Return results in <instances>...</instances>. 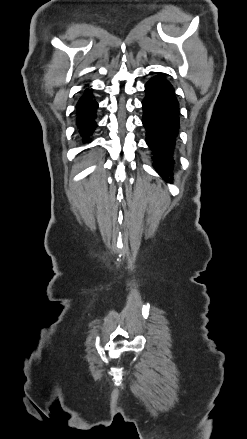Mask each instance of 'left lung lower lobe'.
<instances>
[{"label": "left lung lower lobe", "instance_id": "obj_1", "mask_svg": "<svg viewBox=\"0 0 247 439\" xmlns=\"http://www.w3.org/2000/svg\"><path fill=\"white\" fill-rule=\"evenodd\" d=\"M145 92L142 122L146 142L154 153L157 172L171 183L168 175L170 165L174 163L172 149L179 129L178 102L172 85L160 74L146 83Z\"/></svg>", "mask_w": 247, "mask_h": 439}]
</instances>
